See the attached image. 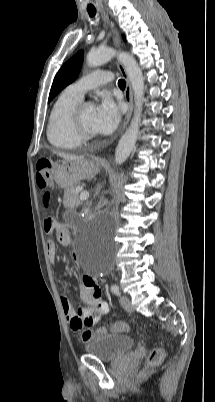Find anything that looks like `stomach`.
<instances>
[{"label":"stomach","mask_w":215,"mask_h":402,"mask_svg":"<svg viewBox=\"0 0 215 402\" xmlns=\"http://www.w3.org/2000/svg\"><path fill=\"white\" fill-rule=\"evenodd\" d=\"M100 167V163L95 158L61 160L53 164L52 177L60 187L67 189L77 185L81 180L96 175Z\"/></svg>","instance_id":"1"}]
</instances>
